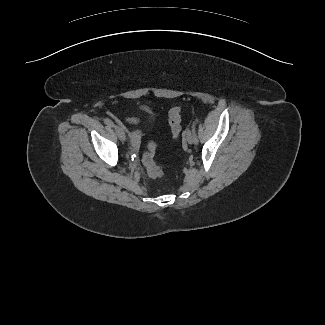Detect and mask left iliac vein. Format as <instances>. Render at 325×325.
Instances as JSON below:
<instances>
[{"label": "left iliac vein", "instance_id": "obj_1", "mask_svg": "<svg viewBox=\"0 0 325 325\" xmlns=\"http://www.w3.org/2000/svg\"><path fill=\"white\" fill-rule=\"evenodd\" d=\"M186 140H187V142H188L189 144H193V143L195 142L191 130H187V131H186Z\"/></svg>", "mask_w": 325, "mask_h": 325}]
</instances>
